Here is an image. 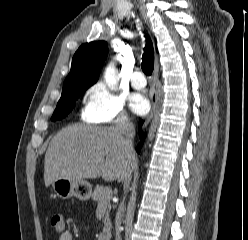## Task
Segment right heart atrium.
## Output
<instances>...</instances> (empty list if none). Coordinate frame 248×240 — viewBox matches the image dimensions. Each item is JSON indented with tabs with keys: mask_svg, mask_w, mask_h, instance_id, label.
Returning a JSON list of instances; mask_svg holds the SVG:
<instances>
[{
	"mask_svg": "<svg viewBox=\"0 0 248 240\" xmlns=\"http://www.w3.org/2000/svg\"><path fill=\"white\" fill-rule=\"evenodd\" d=\"M82 117L96 124L125 123L128 120L124 100L111 92L103 82H97L87 89Z\"/></svg>",
	"mask_w": 248,
	"mask_h": 240,
	"instance_id": "1",
	"label": "right heart atrium"
}]
</instances>
